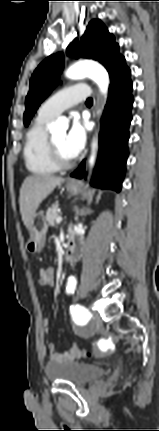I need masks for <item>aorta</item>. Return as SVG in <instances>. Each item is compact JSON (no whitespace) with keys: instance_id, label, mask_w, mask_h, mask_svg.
<instances>
[{"instance_id":"762f6f07","label":"aorta","mask_w":159,"mask_h":431,"mask_svg":"<svg viewBox=\"0 0 159 431\" xmlns=\"http://www.w3.org/2000/svg\"><path fill=\"white\" fill-rule=\"evenodd\" d=\"M66 76L70 79H80L84 77L91 78L99 87L101 93L106 94L109 86V75L106 69L92 61L78 62L66 71ZM64 128L62 120H58L50 125L52 131ZM97 140L93 142L92 154L89 160L90 167L93 166L96 158Z\"/></svg>"}]
</instances>
